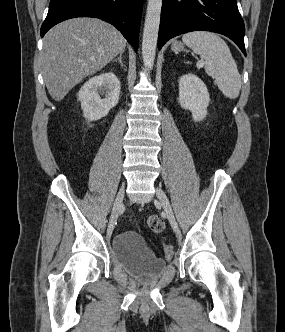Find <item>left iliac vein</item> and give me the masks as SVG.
<instances>
[{
  "instance_id": "obj_1",
  "label": "left iliac vein",
  "mask_w": 285,
  "mask_h": 332,
  "mask_svg": "<svg viewBox=\"0 0 285 332\" xmlns=\"http://www.w3.org/2000/svg\"><path fill=\"white\" fill-rule=\"evenodd\" d=\"M156 197L159 200L174 232L178 233L179 228H178V224L176 222L171 204H170L166 194L163 192V190L161 188H158V187L156 188Z\"/></svg>"
}]
</instances>
